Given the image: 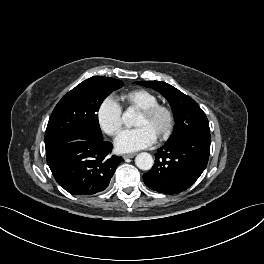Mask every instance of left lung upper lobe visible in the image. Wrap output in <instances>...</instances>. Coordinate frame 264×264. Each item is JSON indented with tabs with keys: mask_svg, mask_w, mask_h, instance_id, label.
<instances>
[{
	"mask_svg": "<svg viewBox=\"0 0 264 264\" xmlns=\"http://www.w3.org/2000/svg\"><path fill=\"white\" fill-rule=\"evenodd\" d=\"M135 83L160 92L171 105L175 126L167 142H179L195 135L210 134L205 113L191 97L165 82L138 81Z\"/></svg>",
	"mask_w": 264,
	"mask_h": 264,
	"instance_id": "1",
	"label": "left lung upper lobe"
}]
</instances>
